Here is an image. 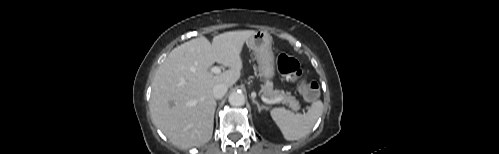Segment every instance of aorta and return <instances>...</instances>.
Masks as SVG:
<instances>
[{"label":"aorta","instance_id":"obj_1","mask_svg":"<svg viewBox=\"0 0 499 154\" xmlns=\"http://www.w3.org/2000/svg\"><path fill=\"white\" fill-rule=\"evenodd\" d=\"M228 101L232 106H242L245 103V96L242 92L235 91L230 94Z\"/></svg>","mask_w":499,"mask_h":154}]
</instances>
